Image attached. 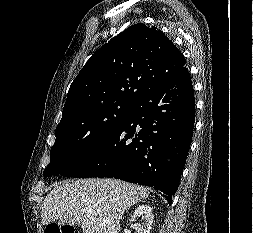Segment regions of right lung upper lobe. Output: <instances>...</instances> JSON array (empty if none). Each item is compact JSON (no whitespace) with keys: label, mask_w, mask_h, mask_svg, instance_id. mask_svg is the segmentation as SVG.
Here are the masks:
<instances>
[{"label":"right lung upper lobe","mask_w":253,"mask_h":233,"mask_svg":"<svg viewBox=\"0 0 253 233\" xmlns=\"http://www.w3.org/2000/svg\"><path fill=\"white\" fill-rule=\"evenodd\" d=\"M184 65L183 54L161 30L132 25L86 62L69 88L62 117L105 100L135 101Z\"/></svg>","instance_id":"cb5924a9"}]
</instances>
